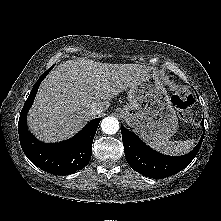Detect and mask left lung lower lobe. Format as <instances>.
I'll list each match as a JSON object with an SVG mask.
<instances>
[{
	"mask_svg": "<svg viewBox=\"0 0 221 221\" xmlns=\"http://www.w3.org/2000/svg\"><path fill=\"white\" fill-rule=\"evenodd\" d=\"M201 125L204 127V118ZM121 133L128 164L140 174L154 179L169 177L187 167L197 155L204 138L203 133L199 143L189 154L176 157L167 156L149 148L123 125H121Z\"/></svg>",
	"mask_w": 221,
	"mask_h": 221,
	"instance_id": "left-lung-lower-lobe-1",
	"label": "left lung lower lobe"
}]
</instances>
